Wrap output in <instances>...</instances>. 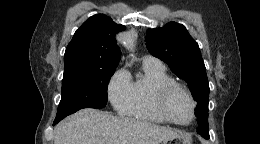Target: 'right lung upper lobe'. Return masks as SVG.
<instances>
[{
	"label": "right lung upper lobe",
	"mask_w": 260,
	"mask_h": 144,
	"mask_svg": "<svg viewBox=\"0 0 260 144\" xmlns=\"http://www.w3.org/2000/svg\"><path fill=\"white\" fill-rule=\"evenodd\" d=\"M124 29L104 14L91 16L76 30L65 51L64 73L116 69L121 52L115 35Z\"/></svg>",
	"instance_id": "1"
}]
</instances>
